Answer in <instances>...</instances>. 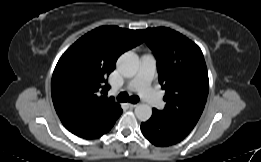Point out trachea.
<instances>
[{
    "label": "trachea",
    "instance_id": "trachea-1",
    "mask_svg": "<svg viewBox=\"0 0 261 162\" xmlns=\"http://www.w3.org/2000/svg\"><path fill=\"white\" fill-rule=\"evenodd\" d=\"M117 100L119 102H131V103H137L139 102V97L136 95L133 96H128V94L126 92H121L118 96H117Z\"/></svg>",
    "mask_w": 261,
    "mask_h": 162
}]
</instances>
